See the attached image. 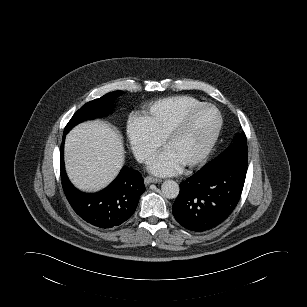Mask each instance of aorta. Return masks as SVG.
Returning <instances> with one entry per match:
<instances>
[{
    "mask_svg": "<svg viewBox=\"0 0 307 307\" xmlns=\"http://www.w3.org/2000/svg\"><path fill=\"white\" fill-rule=\"evenodd\" d=\"M161 191L164 197L174 199L179 194V185L173 180H166L161 185Z\"/></svg>",
    "mask_w": 307,
    "mask_h": 307,
    "instance_id": "1",
    "label": "aorta"
}]
</instances>
